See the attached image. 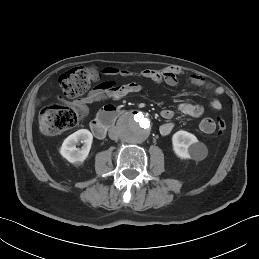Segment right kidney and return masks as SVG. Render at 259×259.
<instances>
[{
	"label": "right kidney",
	"mask_w": 259,
	"mask_h": 259,
	"mask_svg": "<svg viewBox=\"0 0 259 259\" xmlns=\"http://www.w3.org/2000/svg\"><path fill=\"white\" fill-rule=\"evenodd\" d=\"M93 136L87 129H80L68 136L60 147V154L70 163L80 165L88 157L91 149ZM81 142L83 146L76 148V144Z\"/></svg>",
	"instance_id": "ca27d5eb"
}]
</instances>
